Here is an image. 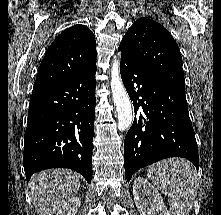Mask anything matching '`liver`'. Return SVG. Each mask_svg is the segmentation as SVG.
Wrapping results in <instances>:
<instances>
[{
    "label": "liver",
    "mask_w": 221,
    "mask_h": 215,
    "mask_svg": "<svg viewBox=\"0 0 221 215\" xmlns=\"http://www.w3.org/2000/svg\"><path fill=\"white\" fill-rule=\"evenodd\" d=\"M80 188L79 175L66 169H49L32 176L29 194L39 215H53Z\"/></svg>",
    "instance_id": "6515ba94"
}]
</instances>
